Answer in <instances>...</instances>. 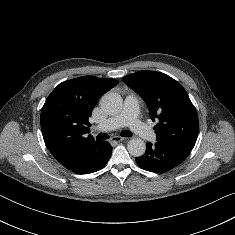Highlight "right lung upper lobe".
<instances>
[{"instance_id":"right-lung-upper-lobe-1","label":"right lung upper lobe","mask_w":235,"mask_h":235,"mask_svg":"<svg viewBox=\"0 0 235 235\" xmlns=\"http://www.w3.org/2000/svg\"><path fill=\"white\" fill-rule=\"evenodd\" d=\"M109 78L83 76L60 83L48 96L41 110V130L51 154L67 169L72 168L85 150L95 143L88 122L99 98L116 86Z\"/></svg>"}]
</instances>
